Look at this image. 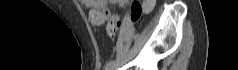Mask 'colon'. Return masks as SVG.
Wrapping results in <instances>:
<instances>
[{
    "label": "colon",
    "instance_id": "1",
    "mask_svg": "<svg viewBox=\"0 0 238 70\" xmlns=\"http://www.w3.org/2000/svg\"><path fill=\"white\" fill-rule=\"evenodd\" d=\"M154 4H155L154 0H146L144 1L143 4H141L138 1H133L131 7V19L133 21L138 20L142 12L144 10L150 11L153 8ZM118 27H119V19H108L107 34L110 38H113L116 35Z\"/></svg>",
    "mask_w": 238,
    "mask_h": 70
}]
</instances>
